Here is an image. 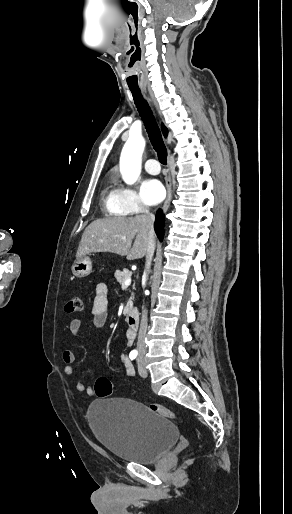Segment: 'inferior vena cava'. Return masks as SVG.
Listing matches in <instances>:
<instances>
[{"mask_svg":"<svg viewBox=\"0 0 292 514\" xmlns=\"http://www.w3.org/2000/svg\"><path fill=\"white\" fill-rule=\"evenodd\" d=\"M143 214H145L146 218V232H147V238H148V250L146 254V262H145V274H148L155 250V232H154V220L155 216L154 214H150L148 210H144ZM147 312L146 310H143L142 312V318H141V324L139 328V334H138V342H137V350H138V356H142V354H145V336L147 332Z\"/></svg>","mask_w":292,"mask_h":514,"instance_id":"1","label":"inferior vena cava"}]
</instances>
